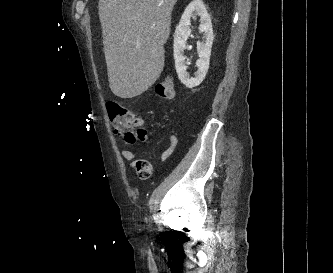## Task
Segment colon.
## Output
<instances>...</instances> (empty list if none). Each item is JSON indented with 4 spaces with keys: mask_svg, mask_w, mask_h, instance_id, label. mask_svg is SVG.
I'll use <instances>...</instances> for the list:
<instances>
[{
    "mask_svg": "<svg viewBox=\"0 0 333 273\" xmlns=\"http://www.w3.org/2000/svg\"><path fill=\"white\" fill-rule=\"evenodd\" d=\"M156 94L164 100H172L174 98V86L170 77H166L159 81L155 87ZM109 117L115 133L122 137L128 143H135L143 140L145 131L138 124L135 114L124 108L123 106L110 102L107 105ZM136 173L140 179H148L152 173V166L149 161L139 159L134 166Z\"/></svg>",
    "mask_w": 333,
    "mask_h": 273,
    "instance_id": "5ec220e1",
    "label": "colon"
}]
</instances>
